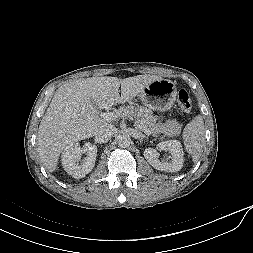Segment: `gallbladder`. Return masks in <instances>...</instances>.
Segmentation results:
<instances>
[{
    "label": "gallbladder",
    "instance_id": "gallbladder-1",
    "mask_svg": "<svg viewBox=\"0 0 253 253\" xmlns=\"http://www.w3.org/2000/svg\"><path fill=\"white\" fill-rule=\"evenodd\" d=\"M92 103H93V106L97 109L98 108L97 104L95 102H92Z\"/></svg>",
    "mask_w": 253,
    "mask_h": 253
}]
</instances>
